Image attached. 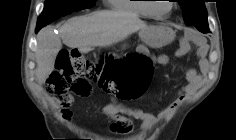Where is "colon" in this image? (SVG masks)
Segmentation results:
<instances>
[{"instance_id":"1","label":"colon","mask_w":236,"mask_h":140,"mask_svg":"<svg viewBox=\"0 0 236 140\" xmlns=\"http://www.w3.org/2000/svg\"><path fill=\"white\" fill-rule=\"evenodd\" d=\"M153 64L144 56L115 58L106 55L98 61L85 58L77 49L60 51L56 70L47 81V92L57 102L88 96L90 81L122 100L142 96L151 80Z\"/></svg>"}]
</instances>
